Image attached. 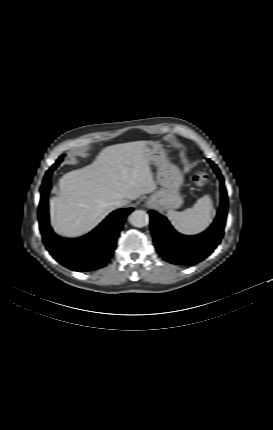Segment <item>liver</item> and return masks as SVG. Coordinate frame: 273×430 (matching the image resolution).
<instances>
[{"label": "liver", "instance_id": "1", "mask_svg": "<svg viewBox=\"0 0 273 430\" xmlns=\"http://www.w3.org/2000/svg\"><path fill=\"white\" fill-rule=\"evenodd\" d=\"M134 141L104 148L95 161L66 173L59 194L50 199L51 226L65 238H78L95 228L119 199L135 200L156 189L144 147Z\"/></svg>", "mask_w": 273, "mask_h": 430}]
</instances>
